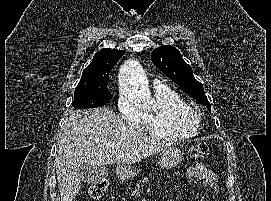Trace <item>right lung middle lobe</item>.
<instances>
[{
    "mask_svg": "<svg viewBox=\"0 0 271 201\" xmlns=\"http://www.w3.org/2000/svg\"><path fill=\"white\" fill-rule=\"evenodd\" d=\"M109 75L81 78L74 91L72 105L86 109L100 107L108 103L113 95L107 89Z\"/></svg>",
    "mask_w": 271,
    "mask_h": 201,
    "instance_id": "right-lung-middle-lobe-1",
    "label": "right lung middle lobe"
}]
</instances>
